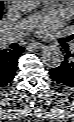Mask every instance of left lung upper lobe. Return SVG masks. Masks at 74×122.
I'll list each match as a JSON object with an SVG mask.
<instances>
[{
  "label": "left lung upper lobe",
  "mask_w": 74,
  "mask_h": 122,
  "mask_svg": "<svg viewBox=\"0 0 74 122\" xmlns=\"http://www.w3.org/2000/svg\"><path fill=\"white\" fill-rule=\"evenodd\" d=\"M71 39H73V40H74V34L71 36Z\"/></svg>",
  "instance_id": "obj_1"
}]
</instances>
